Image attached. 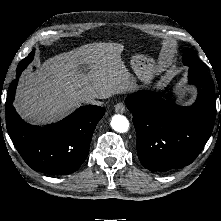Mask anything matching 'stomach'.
Instances as JSON below:
<instances>
[{"label": "stomach", "instance_id": "0dacf381", "mask_svg": "<svg viewBox=\"0 0 221 221\" xmlns=\"http://www.w3.org/2000/svg\"><path fill=\"white\" fill-rule=\"evenodd\" d=\"M131 67L141 81L145 84L151 83L156 72V63L153 58L136 54L131 59Z\"/></svg>", "mask_w": 221, "mask_h": 221}]
</instances>
